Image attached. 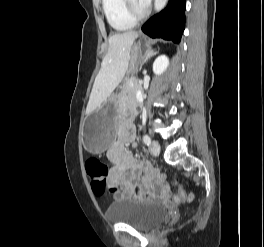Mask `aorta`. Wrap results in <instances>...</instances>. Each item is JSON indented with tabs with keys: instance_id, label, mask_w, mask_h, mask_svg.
Listing matches in <instances>:
<instances>
[{
	"instance_id": "1",
	"label": "aorta",
	"mask_w": 264,
	"mask_h": 247,
	"mask_svg": "<svg viewBox=\"0 0 264 247\" xmlns=\"http://www.w3.org/2000/svg\"><path fill=\"white\" fill-rule=\"evenodd\" d=\"M168 0H154V9L160 12L167 4Z\"/></svg>"
}]
</instances>
